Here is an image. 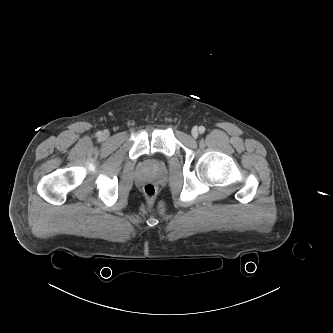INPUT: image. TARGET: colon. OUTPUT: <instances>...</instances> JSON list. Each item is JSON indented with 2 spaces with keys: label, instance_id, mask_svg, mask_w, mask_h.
Masks as SVG:
<instances>
[{
  "label": "colon",
  "instance_id": "colon-1",
  "mask_svg": "<svg viewBox=\"0 0 333 333\" xmlns=\"http://www.w3.org/2000/svg\"><path fill=\"white\" fill-rule=\"evenodd\" d=\"M143 193L148 204H153L156 198L157 189L153 184H146L143 187Z\"/></svg>",
  "mask_w": 333,
  "mask_h": 333
}]
</instances>
